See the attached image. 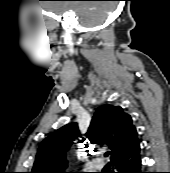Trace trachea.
<instances>
[{"instance_id": "obj_1", "label": "trachea", "mask_w": 170, "mask_h": 173, "mask_svg": "<svg viewBox=\"0 0 170 173\" xmlns=\"http://www.w3.org/2000/svg\"><path fill=\"white\" fill-rule=\"evenodd\" d=\"M110 152H106L105 153V157L109 156Z\"/></svg>"}]
</instances>
